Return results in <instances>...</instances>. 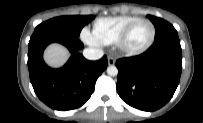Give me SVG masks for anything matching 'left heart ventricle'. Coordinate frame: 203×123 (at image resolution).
Instances as JSON below:
<instances>
[{
	"label": "left heart ventricle",
	"instance_id": "left-heart-ventricle-1",
	"mask_svg": "<svg viewBox=\"0 0 203 123\" xmlns=\"http://www.w3.org/2000/svg\"><path fill=\"white\" fill-rule=\"evenodd\" d=\"M151 34L152 29L148 23H139L131 31L126 46L130 49L141 48L149 41Z\"/></svg>",
	"mask_w": 203,
	"mask_h": 123
}]
</instances>
